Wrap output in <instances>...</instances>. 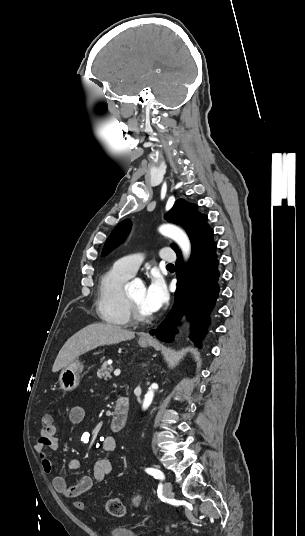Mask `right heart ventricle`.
I'll list each match as a JSON object with an SVG mask.
<instances>
[{"mask_svg": "<svg viewBox=\"0 0 305 536\" xmlns=\"http://www.w3.org/2000/svg\"><path fill=\"white\" fill-rule=\"evenodd\" d=\"M129 279L130 276L116 266L102 276L98 287L96 310L103 321L121 327L132 324V316L124 301V285Z\"/></svg>", "mask_w": 305, "mask_h": 536, "instance_id": "obj_1", "label": "right heart ventricle"}]
</instances>
